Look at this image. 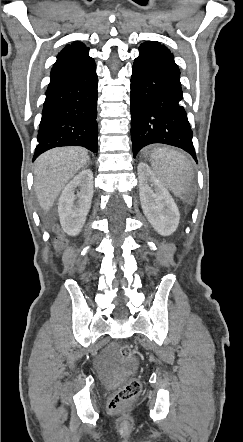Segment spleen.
Returning a JSON list of instances; mask_svg holds the SVG:
<instances>
[{
    "label": "spleen",
    "mask_w": 243,
    "mask_h": 442,
    "mask_svg": "<svg viewBox=\"0 0 243 442\" xmlns=\"http://www.w3.org/2000/svg\"><path fill=\"white\" fill-rule=\"evenodd\" d=\"M150 161L158 180L172 192L181 190L191 174L190 161L183 154L171 149H155Z\"/></svg>",
    "instance_id": "3e777b00"
}]
</instances>
